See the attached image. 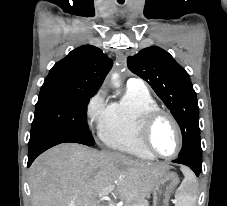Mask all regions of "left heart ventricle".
I'll list each match as a JSON object with an SVG mask.
<instances>
[{
    "label": "left heart ventricle",
    "instance_id": "obj_1",
    "mask_svg": "<svg viewBox=\"0 0 227 206\" xmlns=\"http://www.w3.org/2000/svg\"><path fill=\"white\" fill-rule=\"evenodd\" d=\"M151 143L160 154L170 155L177 147V136L171 122L160 118L154 125L151 133Z\"/></svg>",
    "mask_w": 227,
    "mask_h": 206
}]
</instances>
